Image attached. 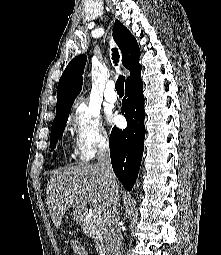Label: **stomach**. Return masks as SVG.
Segmentation results:
<instances>
[{
    "label": "stomach",
    "instance_id": "0dacf381",
    "mask_svg": "<svg viewBox=\"0 0 221 255\" xmlns=\"http://www.w3.org/2000/svg\"><path fill=\"white\" fill-rule=\"evenodd\" d=\"M72 216L74 220L81 221L82 218L84 217V211L81 209H74L72 212Z\"/></svg>",
    "mask_w": 221,
    "mask_h": 255
}]
</instances>
